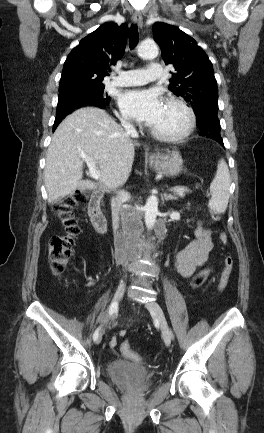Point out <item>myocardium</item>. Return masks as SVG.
<instances>
[{"label":"myocardium","mask_w":264,"mask_h":433,"mask_svg":"<svg viewBox=\"0 0 264 433\" xmlns=\"http://www.w3.org/2000/svg\"><path fill=\"white\" fill-rule=\"evenodd\" d=\"M166 104L177 106L186 114L187 122L185 127L180 132L174 134L161 133L151 127L149 128V132L154 138L160 141L172 142V143L180 142L186 139L194 130L196 125L195 112L186 102L176 97L167 98Z\"/></svg>","instance_id":"myocardium-1"}]
</instances>
